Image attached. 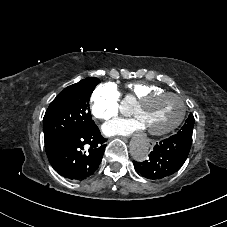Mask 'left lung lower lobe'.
I'll return each instance as SVG.
<instances>
[{
  "instance_id": "left-lung-lower-lobe-1",
  "label": "left lung lower lobe",
  "mask_w": 227,
  "mask_h": 227,
  "mask_svg": "<svg viewBox=\"0 0 227 227\" xmlns=\"http://www.w3.org/2000/svg\"><path fill=\"white\" fill-rule=\"evenodd\" d=\"M191 137L173 135L154 146L149 159L133 161L136 171L148 179H163L177 172L186 161Z\"/></svg>"
}]
</instances>
